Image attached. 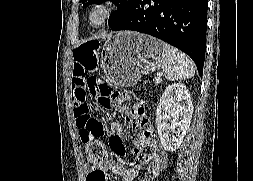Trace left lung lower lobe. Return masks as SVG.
<instances>
[{
  "mask_svg": "<svg viewBox=\"0 0 253 181\" xmlns=\"http://www.w3.org/2000/svg\"><path fill=\"white\" fill-rule=\"evenodd\" d=\"M208 0H135L112 30L157 37L188 54L202 76L206 50Z\"/></svg>",
  "mask_w": 253,
  "mask_h": 181,
  "instance_id": "0a47b994",
  "label": "left lung lower lobe"
}]
</instances>
